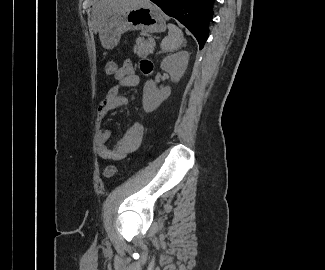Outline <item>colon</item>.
Here are the masks:
<instances>
[{
	"label": "colon",
	"instance_id": "obj_1",
	"mask_svg": "<svg viewBox=\"0 0 325 270\" xmlns=\"http://www.w3.org/2000/svg\"><path fill=\"white\" fill-rule=\"evenodd\" d=\"M118 70L117 63L114 60H108L105 65V73L108 76H114ZM116 173V168L114 166H107L104 171L103 175L106 178H110L114 176Z\"/></svg>",
	"mask_w": 325,
	"mask_h": 270
}]
</instances>
